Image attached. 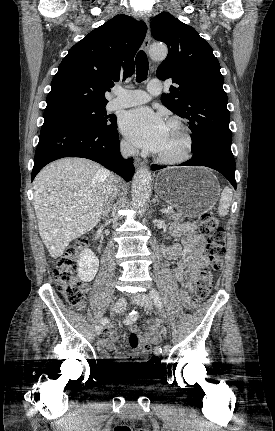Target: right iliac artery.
I'll return each instance as SVG.
<instances>
[{"instance_id":"1","label":"right iliac artery","mask_w":275,"mask_h":431,"mask_svg":"<svg viewBox=\"0 0 275 431\" xmlns=\"http://www.w3.org/2000/svg\"><path fill=\"white\" fill-rule=\"evenodd\" d=\"M137 318L138 313L136 311H132L128 314V316L124 320V323L126 325L133 324L137 320ZM101 322L104 326H109V319L107 317H104Z\"/></svg>"}]
</instances>
